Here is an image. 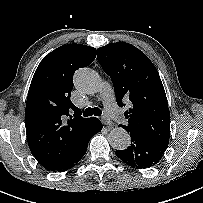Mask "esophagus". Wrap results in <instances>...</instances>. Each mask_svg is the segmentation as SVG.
I'll return each instance as SVG.
<instances>
[{
    "instance_id": "esophagus-1",
    "label": "esophagus",
    "mask_w": 203,
    "mask_h": 203,
    "mask_svg": "<svg viewBox=\"0 0 203 203\" xmlns=\"http://www.w3.org/2000/svg\"><path fill=\"white\" fill-rule=\"evenodd\" d=\"M102 123L105 125V126H108V127H112L113 126V123L110 119H108L107 117H102L101 119Z\"/></svg>"
}]
</instances>
